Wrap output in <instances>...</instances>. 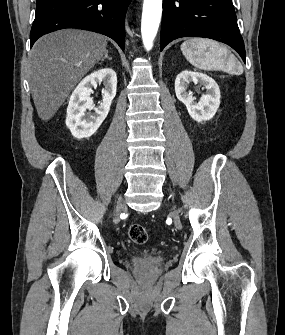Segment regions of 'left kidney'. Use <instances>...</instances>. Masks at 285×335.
Returning <instances> with one entry per match:
<instances>
[{
  "instance_id": "1",
  "label": "left kidney",
  "mask_w": 285,
  "mask_h": 335,
  "mask_svg": "<svg viewBox=\"0 0 285 335\" xmlns=\"http://www.w3.org/2000/svg\"><path fill=\"white\" fill-rule=\"evenodd\" d=\"M190 82L195 84H201L207 90L206 94L201 96L198 104L194 102L191 92H187V88ZM175 94L185 104L188 114H190L193 120L196 122H207L215 116L220 106V90L215 80L206 76V74H200V72H180L175 80Z\"/></svg>"
}]
</instances>
